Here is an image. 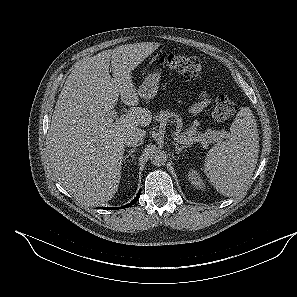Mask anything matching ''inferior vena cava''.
Instances as JSON below:
<instances>
[{"instance_id": "602c4592", "label": "inferior vena cava", "mask_w": 297, "mask_h": 297, "mask_svg": "<svg viewBox=\"0 0 297 297\" xmlns=\"http://www.w3.org/2000/svg\"><path fill=\"white\" fill-rule=\"evenodd\" d=\"M144 142V134L141 131L131 132L125 137L124 144L130 147L142 145Z\"/></svg>"}]
</instances>
